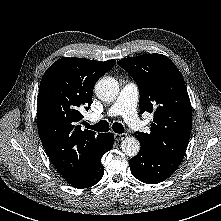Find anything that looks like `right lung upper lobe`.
Segmentation results:
<instances>
[{"instance_id":"obj_1","label":"right lung upper lobe","mask_w":221,"mask_h":221,"mask_svg":"<svg viewBox=\"0 0 221 221\" xmlns=\"http://www.w3.org/2000/svg\"><path fill=\"white\" fill-rule=\"evenodd\" d=\"M115 60L99 62L64 57L44 73L37 99V126L51 162L63 178L73 184L96 161L103 133L81 130L78 121L88 110L93 88Z\"/></svg>"}]
</instances>
